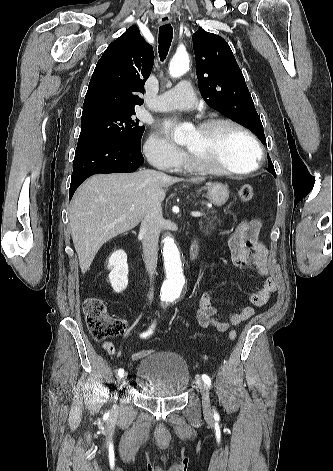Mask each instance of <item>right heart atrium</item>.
<instances>
[{
	"mask_svg": "<svg viewBox=\"0 0 333 471\" xmlns=\"http://www.w3.org/2000/svg\"><path fill=\"white\" fill-rule=\"evenodd\" d=\"M144 152L152 165L164 171L179 169L185 162V154L157 133L149 136Z\"/></svg>",
	"mask_w": 333,
	"mask_h": 471,
	"instance_id": "right-heart-atrium-1",
	"label": "right heart atrium"
}]
</instances>
